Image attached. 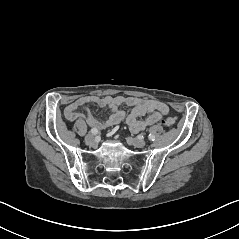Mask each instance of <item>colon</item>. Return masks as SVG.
<instances>
[{
	"instance_id": "obj_1",
	"label": "colon",
	"mask_w": 239,
	"mask_h": 239,
	"mask_svg": "<svg viewBox=\"0 0 239 239\" xmlns=\"http://www.w3.org/2000/svg\"><path fill=\"white\" fill-rule=\"evenodd\" d=\"M175 122H176L175 118L170 116V117L166 118L163 123L165 124V126L171 127L175 124Z\"/></svg>"
}]
</instances>
